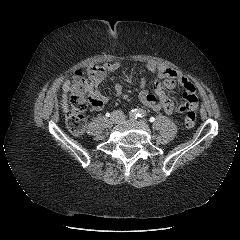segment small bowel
<instances>
[{"mask_svg":"<svg viewBox=\"0 0 240 240\" xmlns=\"http://www.w3.org/2000/svg\"><path fill=\"white\" fill-rule=\"evenodd\" d=\"M119 68L120 63L117 61L95 65L91 68V71L94 72V77L87 87L86 92L93 111H101L109 100V96L99 90V84L106 78L107 74L114 73ZM146 69L158 76L153 87L154 93H151L146 88V80L144 77L140 80L141 91L139 93V99L146 107L156 112L163 111L168 115L174 113L186 114L188 110H195L198 105L196 89L184 74L154 62H148ZM110 79L113 80V76H111ZM178 84L183 87L184 103H175L163 90V87L175 89ZM122 91V86L115 84L114 96H120Z\"/></svg>","mask_w":240,"mask_h":240,"instance_id":"1","label":"small bowel"}]
</instances>
